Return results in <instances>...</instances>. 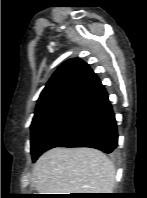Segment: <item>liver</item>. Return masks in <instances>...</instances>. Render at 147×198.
<instances>
[{
  "instance_id": "1",
  "label": "liver",
  "mask_w": 147,
  "mask_h": 198,
  "mask_svg": "<svg viewBox=\"0 0 147 198\" xmlns=\"http://www.w3.org/2000/svg\"><path fill=\"white\" fill-rule=\"evenodd\" d=\"M32 181L39 194L112 193L115 168L93 148H53L34 165Z\"/></svg>"
}]
</instances>
